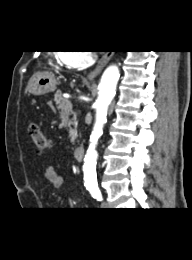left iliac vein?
<instances>
[{
  "mask_svg": "<svg viewBox=\"0 0 192 260\" xmlns=\"http://www.w3.org/2000/svg\"><path fill=\"white\" fill-rule=\"evenodd\" d=\"M101 206L104 208H109V205L106 202H102Z\"/></svg>",
  "mask_w": 192,
  "mask_h": 260,
  "instance_id": "obj_1",
  "label": "left iliac vein"
}]
</instances>
